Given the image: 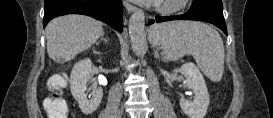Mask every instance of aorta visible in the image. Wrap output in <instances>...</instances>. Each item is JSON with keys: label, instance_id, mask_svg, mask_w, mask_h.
<instances>
[{"label": "aorta", "instance_id": "1", "mask_svg": "<svg viewBox=\"0 0 273 118\" xmlns=\"http://www.w3.org/2000/svg\"><path fill=\"white\" fill-rule=\"evenodd\" d=\"M145 16L141 10H136L129 19V36L133 52L140 55L146 46Z\"/></svg>", "mask_w": 273, "mask_h": 118}]
</instances>
